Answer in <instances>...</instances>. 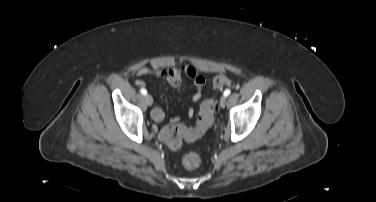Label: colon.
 <instances>
[{
	"mask_svg": "<svg viewBox=\"0 0 376 202\" xmlns=\"http://www.w3.org/2000/svg\"><path fill=\"white\" fill-rule=\"evenodd\" d=\"M230 84V78L224 74L216 76L213 80V87L215 89H222ZM215 110L216 100L207 98L200 106L197 125L194 131L188 130L181 124L165 126L160 130V138L170 149H179L182 144V138L200 136L213 125ZM181 163L186 169H195L200 165V157L194 152H189L182 157Z\"/></svg>",
	"mask_w": 376,
	"mask_h": 202,
	"instance_id": "1",
	"label": "colon"
}]
</instances>
